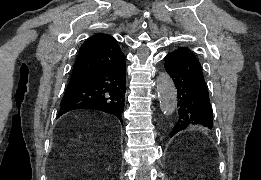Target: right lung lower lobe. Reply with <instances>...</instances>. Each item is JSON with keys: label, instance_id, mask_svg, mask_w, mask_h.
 <instances>
[{"label": "right lung lower lobe", "instance_id": "98d812e1", "mask_svg": "<svg viewBox=\"0 0 261 180\" xmlns=\"http://www.w3.org/2000/svg\"><path fill=\"white\" fill-rule=\"evenodd\" d=\"M68 85L58 116L75 109H94L113 114L122 122L126 90L125 62L96 68Z\"/></svg>", "mask_w": 261, "mask_h": 180}]
</instances>
